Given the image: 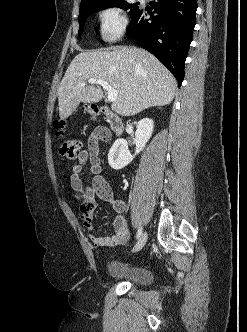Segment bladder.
<instances>
[{
	"label": "bladder",
	"mask_w": 247,
	"mask_h": 332,
	"mask_svg": "<svg viewBox=\"0 0 247 332\" xmlns=\"http://www.w3.org/2000/svg\"><path fill=\"white\" fill-rule=\"evenodd\" d=\"M108 273L111 278L128 282L136 286H145L150 283V272L141 265L125 264L112 261L108 264Z\"/></svg>",
	"instance_id": "1"
}]
</instances>
